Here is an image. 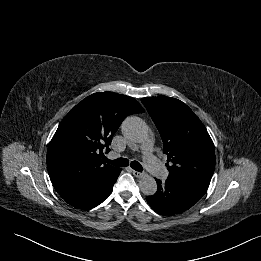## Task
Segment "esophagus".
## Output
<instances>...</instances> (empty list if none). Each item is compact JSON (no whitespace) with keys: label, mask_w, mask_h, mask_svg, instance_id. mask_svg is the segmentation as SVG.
Instances as JSON below:
<instances>
[{"label":"esophagus","mask_w":261,"mask_h":261,"mask_svg":"<svg viewBox=\"0 0 261 261\" xmlns=\"http://www.w3.org/2000/svg\"><path fill=\"white\" fill-rule=\"evenodd\" d=\"M132 173H133V175H134L135 177H137V178H142V177L145 176V173L138 172V171H135V170H133Z\"/></svg>","instance_id":"esophagus-1"}]
</instances>
